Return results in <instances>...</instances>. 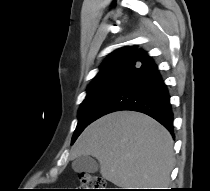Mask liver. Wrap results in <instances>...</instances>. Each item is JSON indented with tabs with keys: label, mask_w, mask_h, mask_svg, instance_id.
<instances>
[{
	"label": "liver",
	"mask_w": 210,
	"mask_h": 191,
	"mask_svg": "<svg viewBox=\"0 0 210 191\" xmlns=\"http://www.w3.org/2000/svg\"><path fill=\"white\" fill-rule=\"evenodd\" d=\"M92 155L103 178L123 189L163 188L174 166L170 133L151 117L119 111L91 123L70 158Z\"/></svg>",
	"instance_id": "6515ba94"
}]
</instances>
